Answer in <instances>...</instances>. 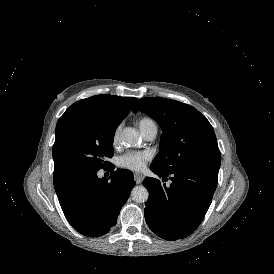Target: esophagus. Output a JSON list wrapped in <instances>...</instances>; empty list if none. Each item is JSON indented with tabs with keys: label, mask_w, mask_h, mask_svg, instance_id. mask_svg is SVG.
Instances as JSON below:
<instances>
[{
	"label": "esophagus",
	"mask_w": 274,
	"mask_h": 274,
	"mask_svg": "<svg viewBox=\"0 0 274 274\" xmlns=\"http://www.w3.org/2000/svg\"><path fill=\"white\" fill-rule=\"evenodd\" d=\"M134 180L137 184H140L144 180V176L142 174L135 173L134 174Z\"/></svg>",
	"instance_id": "1"
}]
</instances>
